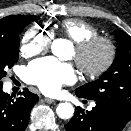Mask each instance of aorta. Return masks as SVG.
<instances>
[{"mask_svg": "<svg viewBox=\"0 0 131 131\" xmlns=\"http://www.w3.org/2000/svg\"><path fill=\"white\" fill-rule=\"evenodd\" d=\"M66 44L67 41L64 39L54 40L51 44L52 53L59 58H63L66 52ZM56 112L61 119H69L74 114V108L70 103H60L56 108Z\"/></svg>", "mask_w": 131, "mask_h": 131, "instance_id": "762f6f07", "label": "aorta"}]
</instances>
